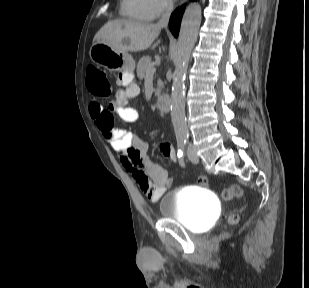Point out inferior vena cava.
<instances>
[{
	"instance_id": "obj_1",
	"label": "inferior vena cava",
	"mask_w": 309,
	"mask_h": 288,
	"mask_svg": "<svg viewBox=\"0 0 309 288\" xmlns=\"http://www.w3.org/2000/svg\"><path fill=\"white\" fill-rule=\"evenodd\" d=\"M173 10V2L172 0H168L167 2V7H166V12L162 15L161 19L159 20V22L157 23V25L159 27H167L168 25V21L170 18V14Z\"/></svg>"
}]
</instances>
